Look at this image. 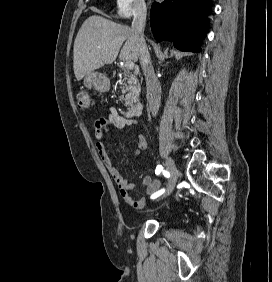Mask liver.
<instances>
[{
  "label": "liver",
  "mask_w": 272,
  "mask_h": 282,
  "mask_svg": "<svg viewBox=\"0 0 272 282\" xmlns=\"http://www.w3.org/2000/svg\"><path fill=\"white\" fill-rule=\"evenodd\" d=\"M119 52L122 61H138L140 45L132 29L98 15L90 16L82 24L74 41L73 68L76 79L81 80L105 64H111Z\"/></svg>",
  "instance_id": "6515ba94"
}]
</instances>
